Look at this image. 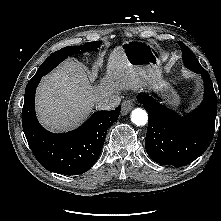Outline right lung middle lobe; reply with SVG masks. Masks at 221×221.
Wrapping results in <instances>:
<instances>
[{"label": "right lung middle lobe", "mask_w": 221, "mask_h": 221, "mask_svg": "<svg viewBox=\"0 0 221 221\" xmlns=\"http://www.w3.org/2000/svg\"><path fill=\"white\" fill-rule=\"evenodd\" d=\"M100 44V41L96 42H88L84 45L81 46H68L65 48H62L53 54H51L39 67L38 71L33 77H38V76H44L47 73H49L53 68H55L59 63H61L65 58L68 56L75 54V53H80V52H85V51H91L95 48H97Z\"/></svg>", "instance_id": "dd1d6c3e"}]
</instances>
